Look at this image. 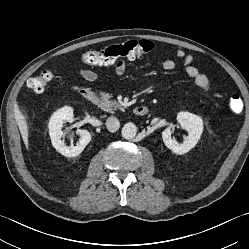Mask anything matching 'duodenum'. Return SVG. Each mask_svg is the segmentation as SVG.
Listing matches in <instances>:
<instances>
[{
  "label": "duodenum",
  "instance_id": "1",
  "mask_svg": "<svg viewBox=\"0 0 249 249\" xmlns=\"http://www.w3.org/2000/svg\"><path fill=\"white\" fill-rule=\"evenodd\" d=\"M83 99L89 102H94L97 99V94L94 90L83 87L79 91ZM134 113L137 116H144L148 113V107L146 105H138L134 109Z\"/></svg>",
  "mask_w": 249,
  "mask_h": 249
}]
</instances>
